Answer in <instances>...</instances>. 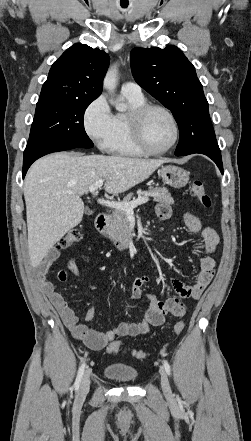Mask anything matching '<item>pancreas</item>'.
<instances>
[{"instance_id": "pancreas-1", "label": "pancreas", "mask_w": 251, "mask_h": 441, "mask_svg": "<svg viewBox=\"0 0 251 441\" xmlns=\"http://www.w3.org/2000/svg\"><path fill=\"white\" fill-rule=\"evenodd\" d=\"M142 193H147L154 196V201L163 203L166 205L174 204V200L171 197L168 189L165 187H149L148 191H142ZM133 197V193L128 194L124 197V202H129ZM107 233L109 236L117 241L126 242L130 238V227L127 219L126 211L115 209L112 212L110 224L107 228Z\"/></svg>"}]
</instances>
